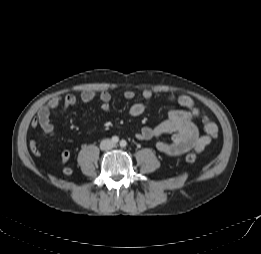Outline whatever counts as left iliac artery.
Masks as SVG:
<instances>
[{"label": "left iliac artery", "instance_id": "44dca946", "mask_svg": "<svg viewBox=\"0 0 261 254\" xmlns=\"http://www.w3.org/2000/svg\"><path fill=\"white\" fill-rule=\"evenodd\" d=\"M126 145H127V142L125 140H121L120 141V146L121 147H126Z\"/></svg>", "mask_w": 261, "mask_h": 254}]
</instances>
